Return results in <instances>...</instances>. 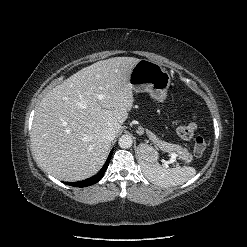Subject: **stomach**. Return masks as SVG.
<instances>
[{
    "label": "stomach",
    "mask_w": 247,
    "mask_h": 247,
    "mask_svg": "<svg viewBox=\"0 0 247 247\" xmlns=\"http://www.w3.org/2000/svg\"><path fill=\"white\" fill-rule=\"evenodd\" d=\"M129 82L135 92H147L150 96L163 103L167 97L171 77L157 62L141 59L132 69ZM138 155L142 162L156 163L158 153L151 146L140 145Z\"/></svg>",
    "instance_id": "0dacf381"
}]
</instances>
